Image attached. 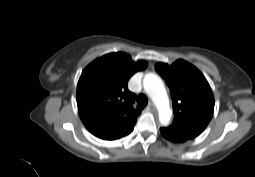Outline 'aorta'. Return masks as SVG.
Here are the masks:
<instances>
[{
  "label": "aorta",
  "mask_w": 255,
  "mask_h": 177,
  "mask_svg": "<svg viewBox=\"0 0 255 177\" xmlns=\"http://www.w3.org/2000/svg\"><path fill=\"white\" fill-rule=\"evenodd\" d=\"M143 87L158 109L159 122L167 126L171 119V110L162 79L153 73H148L143 78Z\"/></svg>",
  "instance_id": "aorta-1"
}]
</instances>
